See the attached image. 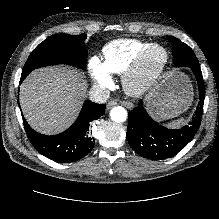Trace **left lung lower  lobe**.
<instances>
[{"label": "left lung lower lobe", "mask_w": 219, "mask_h": 219, "mask_svg": "<svg viewBox=\"0 0 219 219\" xmlns=\"http://www.w3.org/2000/svg\"><path fill=\"white\" fill-rule=\"evenodd\" d=\"M198 82L200 102L195 117L179 129L160 125L150 117L142 100L128 113L127 140L134 151L149 159H166L183 149L196 134L202 117L205 98L200 67H191Z\"/></svg>", "instance_id": "left-lung-lower-lobe-1"}]
</instances>
